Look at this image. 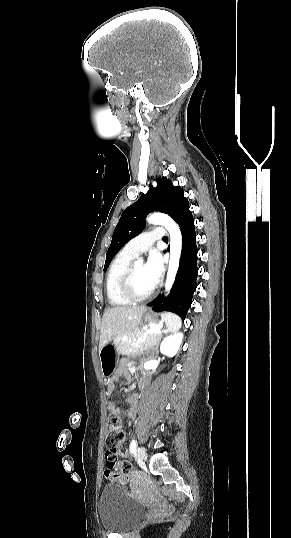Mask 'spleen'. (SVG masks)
<instances>
[{"label":"spleen","instance_id":"spleen-1","mask_svg":"<svg viewBox=\"0 0 291 538\" xmlns=\"http://www.w3.org/2000/svg\"><path fill=\"white\" fill-rule=\"evenodd\" d=\"M163 320L166 322L168 329L172 332L177 331L181 327V319L176 314L171 312H164L162 314Z\"/></svg>","mask_w":291,"mask_h":538}]
</instances>
